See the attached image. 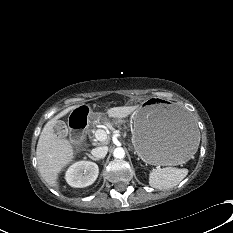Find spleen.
I'll use <instances>...</instances> for the list:
<instances>
[{
  "mask_svg": "<svg viewBox=\"0 0 233 233\" xmlns=\"http://www.w3.org/2000/svg\"><path fill=\"white\" fill-rule=\"evenodd\" d=\"M187 173V169L173 167L153 169L149 174V185L156 189H170L178 185Z\"/></svg>",
  "mask_w": 233,
  "mask_h": 233,
  "instance_id": "1",
  "label": "spleen"
}]
</instances>
